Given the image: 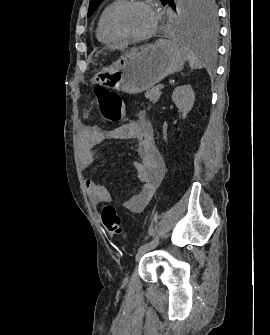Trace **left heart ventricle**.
I'll use <instances>...</instances> for the list:
<instances>
[{
  "label": "left heart ventricle",
  "instance_id": "obj_1",
  "mask_svg": "<svg viewBox=\"0 0 270 335\" xmlns=\"http://www.w3.org/2000/svg\"><path fill=\"white\" fill-rule=\"evenodd\" d=\"M121 24L125 30L132 34H144L152 29L155 24V18L147 9L131 6L123 13Z\"/></svg>",
  "mask_w": 270,
  "mask_h": 335
}]
</instances>
